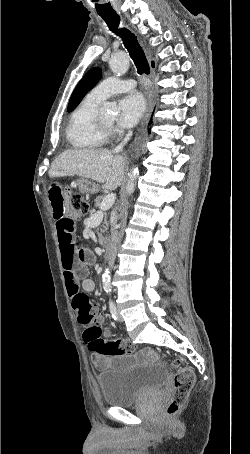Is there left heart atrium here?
<instances>
[{
  "label": "left heart atrium",
  "mask_w": 250,
  "mask_h": 454,
  "mask_svg": "<svg viewBox=\"0 0 250 454\" xmlns=\"http://www.w3.org/2000/svg\"><path fill=\"white\" fill-rule=\"evenodd\" d=\"M118 107V124L121 127L129 128L139 121L145 111L146 103L142 94L132 92L119 101Z\"/></svg>",
  "instance_id": "1"
}]
</instances>
